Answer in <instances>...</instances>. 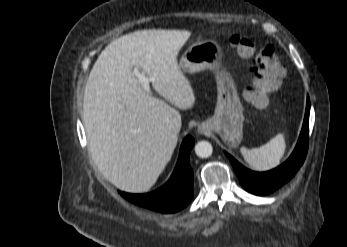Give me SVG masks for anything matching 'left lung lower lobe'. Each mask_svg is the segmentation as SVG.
<instances>
[{
	"label": "left lung lower lobe",
	"mask_w": 347,
	"mask_h": 247,
	"mask_svg": "<svg viewBox=\"0 0 347 247\" xmlns=\"http://www.w3.org/2000/svg\"><path fill=\"white\" fill-rule=\"evenodd\" d=\"M309 112L310 100L308 97L304 123L297 145L288 160L271 171L262 173L253 172L242 166L230 154L226 153L233 165L242 187L245 190L255 195H268L276 191L295 175L303 164L307 154L309 137Z\"/></svg>",
	"instance_id": "0a47b994"
}]
</instances>
